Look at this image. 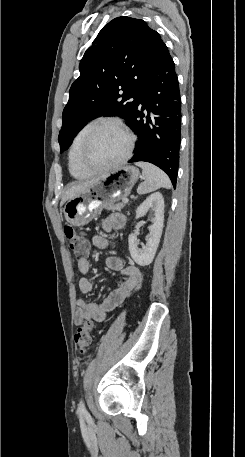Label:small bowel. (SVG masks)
Instances as JSON below:
<instances>
[{
	"instance_id": "small-bowel-1",
	"label": "small bowel",
	"mask_w": 245,
	"mask_h": 457,
	"mask_svg": "<svg viewBox=\"0 0 245 457\" xmlns=\"http://www.w3.org/2000/svg\"><path fill=\"white\" fill-rule=\"evenodd\" d=\"M126 223V217L121 213H111L102 222V229L106 233L122 229ZM93 243L99 248H106L110 242L103 236L97 235L93 238ZM106 266L118 272L122 279L116 289L103 299L100 303H94L84 298H79L76 302L77 311L75 313V324L81 325L85 321L102 322L106 314L125 302L134 292L140 289L144 280V272L136 265L125 266L123 260L117 256L106 258ZM91 268L87 258L78 260V269L81 277L78 281L79 290L83 294L91 293L93 282L89 277Z\"/></svg>"
}]
</instances>
